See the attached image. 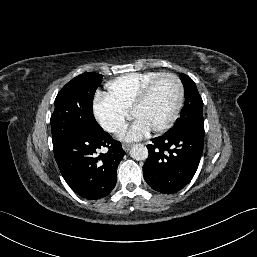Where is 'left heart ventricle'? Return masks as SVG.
<instances>
[{
	"mask_svg": "<svg viewBox=\"0 0 257 257\" xmlns=\"http://www.w3.org/2000/svg\"><path fill=\"white\" fill-rule=\"evenodd\" d=\"M177 96L175 81L163 78L153 89L147 102L133 114V117L142 119L153 130L169 119L176 105Z\"/></svg>",
	"mask_w": 257,
	"mask_h": 257,
	"instance_id": "obj_1",
	"label": "left heart ventricle"
}]
</instances>
